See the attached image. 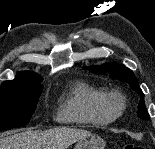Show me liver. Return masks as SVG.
Wrapping results in <instances>:
<instances>
[{
    "instance_id": "obj_1",
    "label": "liver",
    "mask_w": 155,
    "mask_h": 149,
    "mask_svg": "<svg viewBox=\"0 0 155 149\" xmlns=\"http://www.w3.org/2000/svg\"><path fill=\"white\" fill-rule=\"evenodd\" d=\"M89 134V131L68 127L46 131L27 130L1 138L0 149H67Z\"/></svg>"
}]
</instances>
